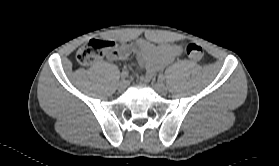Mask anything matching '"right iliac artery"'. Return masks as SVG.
<instances>
[{"instance_id":"right-iliac-artery-1","label":"right iliac artery","mask_w":279,"mask_h":166,"mask_svg":"<svg viewBox=\"0 0 279 166\" xmlns=\"http://www.w3.org/2000/svg\"><path fill=\"white\" fill-rule=\"evenodd\" d=\"M128 75H129V72L126 71V70H124V71H122V73H121V78H122V79H125V78L128 77Z\"/></svg>"}]
</instances>
